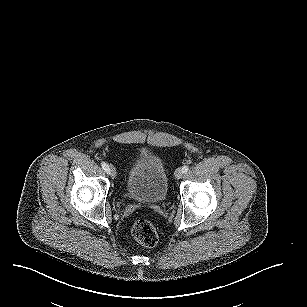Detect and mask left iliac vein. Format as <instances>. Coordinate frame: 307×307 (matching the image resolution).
I'll return each instance as SVG.
<instances>
[{"mask_svg": "<svg viewBox=\"0 0 307 307\" xmlns=\"http://www.w3.org/2000/svg\"><path fill=\"white\" fill-rule=\"evenodd\" d=\"M183 174H184L183 169L182 168H178L175 171V178L179 180V179L182 178Z\"/></svg>", "mask_w": 307, "mask_h": 307, "instance_id": "1", "label": "left iliac vein"}]
</instances>
